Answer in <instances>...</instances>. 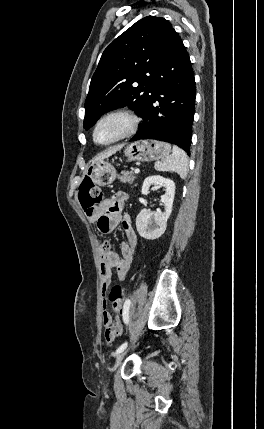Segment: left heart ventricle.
<instances>
[{"label": "left heart ventricle", "instance_id": "left-heart-ventricle-1", "mask_svg": "<svg viewBox=\"0 0 264 429\" xmlns=\"http://www.w3.org/2000/svg\"><path fill=\"white\" fill-rule=\"evenodd\" d=\"M127 127L124 118L114 117L104 121L98 128L96 139L99 142H107L120 135Z\"/></svg>", "mask_w": 264, "mask_h": 429}]
</instances>
